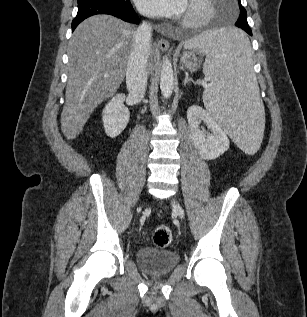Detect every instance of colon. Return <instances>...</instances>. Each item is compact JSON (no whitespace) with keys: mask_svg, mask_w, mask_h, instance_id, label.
<instances>
[{"mask_svg":"<svg viewBox=\"0 0 307 317\" xmlns=\"http://www.w3.org/2000/svg\"><path fill=\"white\" fill-rule=\"evenodd\" d=\"M173 240V234L171 229L166 225H159L156 227L152 234L153 244L157 248L168 247Z\"/></svg>","mask_w":307,"mask_h":317,"instance_id":"1","label":"colon"}]
</instances>
